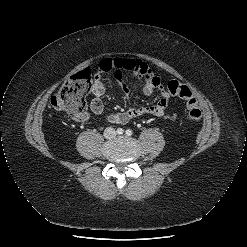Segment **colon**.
<instances>
[{"label":"colon","mask_w":247,"mask_h":247,"mask_svg":"<svg viewBox=\"0 0 247 247\" xmlns=\"http://www.w3.org/2000/svg\"><path fill=\"white\" fill-rule=\"evenodd\" d=\"M172 96H177L186 102L188 116L197 121L201 118V107L191 89L176 80L169 81L166 86ZM91 90V72L84 69L68 78L50 99V108L77 115L86 107L87 97Z\"/></svg>","instance_id":"5ec220e1"}]
</instances>
